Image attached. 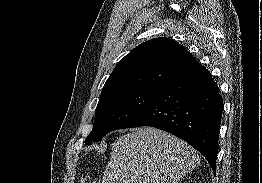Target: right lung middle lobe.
Returning <instances> with one entry per match:
<instances>
[{
  "mask_svg": "<svg viewBox=\"0 0 262 183\" xmlns=\"http://www.w3.org/2000/svg\"><path fill=\"white\" fill-rule=\"evenodd\" d=\"M158 90L132 89L100 96L95 120L86 145L102 139L107 133L124 128L154 98Z\"/></svg>",
  "mask_w": 262,
  "mask_h": 183,
  "instance_id": "right-lung-middle-lobe-1",
  "label": "right lung middle lobe"
}]
</instances>
